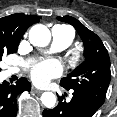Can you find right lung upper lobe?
Here are the masks:
<instances>
[{
	"label": "right lung upper lobe",
	"mask_w": 117,
	"mask_h": 117,
	"mask_svg": "<svg viewBox=\"0 0 117 117\" xmlns=\"http://www.w3.org/2000/svg\"><path fill=\"white\" fill-rule=\"evenodd\" d=\"M41 16L12 14L0 18V44L19 45L23 34L34 23L39 22Z\"/></svg>",
	"instance_id": "right-lung-upper-lobe-1"
}]
</instances>
